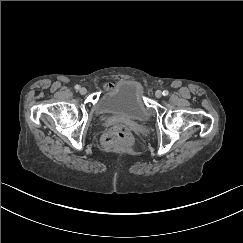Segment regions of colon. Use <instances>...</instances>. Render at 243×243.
I'll list each match as a JSON object with an SVG mask.
<instances>
[{"mask_svg":"<svg viewBox=\"0 0 243 243\" xmlns=\"http://www.w3.org/2000/svg\"><path fill=\"white\" fill-rule=\"evenodd\" d=\"M129 139L130 133L128 129L125 127H118L104 137V142L107 145H114L116 143H119L121 141H127Z\"/></svg>","mask_w":243,"mask_h":243,"instance_id":"5ec220e1","label":"colon"}]
</instances>
